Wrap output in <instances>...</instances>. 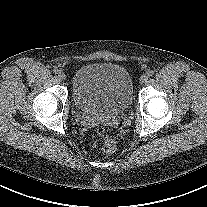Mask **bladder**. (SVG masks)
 I'll return each instance as SVG.
<instances>
[{
    "label": "bladder",
    "mask_w": 207,
    "mask_h": 207,
    "mask_svg": "<svg viewBox=\"0 0 207 207\" xmlns=\"http://www.w3.org/2000/svg\"><path fill=\"white\" fill-rule=\"evenodd\" d=\"M72 96L84 114L118 113L133 99L129 72L113 63H90L79 68L73 78Z\"/></svg>",
    "instance_id": "1"
}]
</instances>
